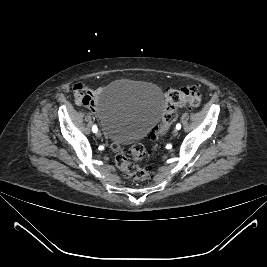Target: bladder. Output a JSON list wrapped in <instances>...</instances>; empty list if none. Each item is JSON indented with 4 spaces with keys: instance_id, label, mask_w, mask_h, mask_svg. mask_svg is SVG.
<instances>
[{
    "instance_id": "1",
    "label": "bladder",
    "mask_w": 267,
    "mask_h": 267,
    "mask_svg": "<svg viewBox=\"0 0 267 267\" xmlns=\"http://www.w3.org/2000/svg\"><path fill=\"white\" fill-rule=\"evenodd\" d=\"M163 92L153 84L121 79L111 82L97 102V114L110 141L126 145L142 139L159 121Z\"/></svg>"
}]
</instances>
